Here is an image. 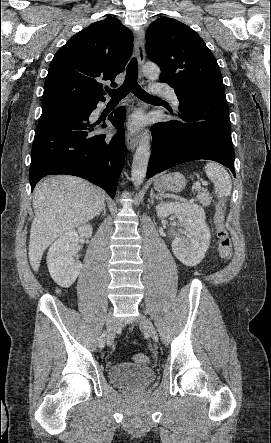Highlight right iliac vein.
<instances>
[{
  "mask_svg": "<svg viewBox=\"0 0 271 443\" xmlns=\"http://www.w3.org/2000/svg\"><path fill=\"white\" fill-rule=\"evenodd\" d=\"M106 326H107V338H106V342H107V345L110 346V345H112L113 340H114L115 335H116V325H115V320H114V317H113V315H112L111 312L107 315V318H106Z\"/></svg>",
  "mask_w": 271,
  "mask_h": 443,
  "instance_id": "right-iliac-vein-1",
  "label": "right iliac vein"
}]
</instances>
